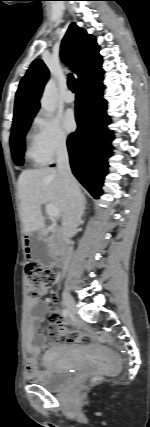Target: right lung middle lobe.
Returning <instances> with one entry per match:
<instances>
[{"instance_id": "dd1d6c3e", "label": "right lung middle lobe", "mask_w": 150, "mask_h": 427, "mask_svg": "<svg viewBox=\"0 0 150 427\" xmlns=\"http://www.w3.org/2000/svg\"><path fill=\"white\" fill-rule=\"evenodd\" d=\"M33 117L26 118L13 123L12 133L10 137V146L12 152V158L17 165L23 163V153L25 150L24 137L29 129Z\"/></svg>"}]
</instances>
